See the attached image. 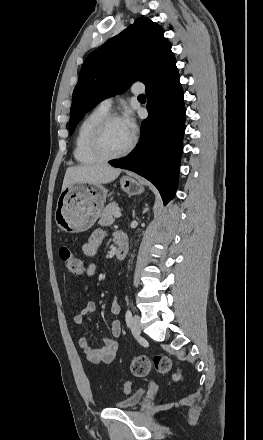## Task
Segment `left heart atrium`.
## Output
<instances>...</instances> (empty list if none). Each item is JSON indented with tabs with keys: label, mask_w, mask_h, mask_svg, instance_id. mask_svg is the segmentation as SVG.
I'll use <instances>...</instances> for the list:
<instances>
[{
	"label": "left heart atrium",
	"mask_w": 263,
	"mask_h": 440,
	"mask_svg": "<svg viewBox=\"0 0 263 440\" xmlns=\"http://www.w3.org/2000/svg\"><path fill=\"white\" fill-rule=\"evenodd\" d=\"M122 122L127 129V131L132 135L135 129L134 121L129 115H125L122 118Z\"/></svg>",
	"instance_id": "obj_1"
}]
</instances>
